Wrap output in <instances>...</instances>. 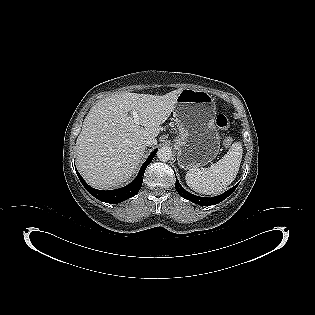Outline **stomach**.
<instances>
[{"label": "stomach", "mask_w": 315, "mask_h": 315, "mask_svg": "<svg viewBox=\"0 0 315 315\" xmlns=\"http://www.w3.org/2000/svg\"><path fill=\"white\" fill-rule=\"evenodd\" d=\"M173 116L179 131L174 141L178 165L192 170L214 160L220 150L214 97L203 90L183 89Z\"/></svg>", "instance_id": "1"}]
</instances>
